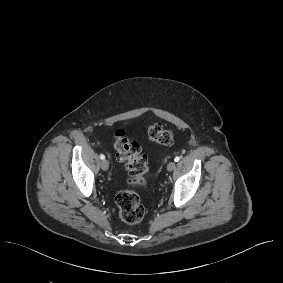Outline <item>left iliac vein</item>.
I'll return each instance as SVG.
<instances>
[{
	"mask_svg": "<svg viewBox=\"0 0 283 283\" xmlns=\"http://www.w3.org/2000/svg\"><path fill=\"white\" fill-rule=\"evenodd\" d=\"M175 166H176L175 162H174V161H171V162H169L168 165H167V170H168V171H173V169L175 168Z\"/></svg>",
	"mask_w": 283,
	"mask_h": 283,
	"instance_id": "1",
	"label": "left iliac vein"
}]
</instances>
